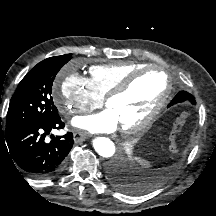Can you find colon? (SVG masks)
<instances>
[{"label": "colon", "instance_id": "obj_1", "mask_svg": "<svg viewBox=\"0 0 216 216\" xmlns=\"http://www.w3.org/2000/svg\"><path fill=\"white\" fill-rule=\"evenodd\" d=\"M187 119H188V113L183 112L182 114H180V116L177 118L175 122V127L172 135V142L170 144V150L172 152H175L177 150V136L182 126L186 123Z\"/></svg>", "mask_w": 216, "mask_h": 216}]
</instances>
